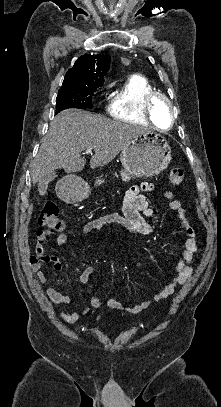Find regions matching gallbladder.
<instances>
[{"label":"gallbladder","instance_id":"obj_1","mask_svg":"<svg viewBox=\"0 0 221 407\" xmlns=\"http://www.w3.org/2000/svg\"><path fill=\"white\" fill-rule=\"evenodd\" d=\"M56 177V173L54 171L45 174L42 179L38 182V189L41 192H45L47 185L54 180Z\"/></svg>","mask_w":221,"mask_h":407}]
</instances>
